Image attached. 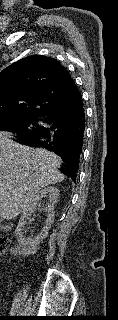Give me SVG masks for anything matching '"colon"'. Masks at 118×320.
I'll return each mask as SVG.
<instances>
[{
	"label": "colon",
	"instance_id": "obj_1",
	"mask_svg": "<svg viewBox=\"0 0 118 320\" xmlns=\"http://www.w3.org/2000/svg\"><path fill=\"white\" fill-rule=\"evenodd\" d=\"M7 243L8 240L6 238L0 237V255H2L5 252Z\"/></svg>",
	"mask_w": 118,
	"mask_h": 320
}]
</instances>
